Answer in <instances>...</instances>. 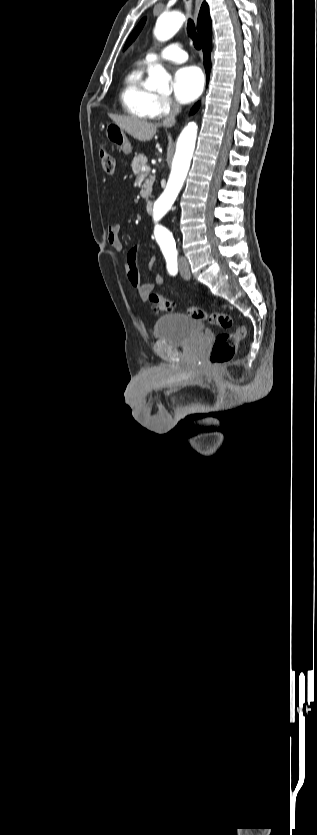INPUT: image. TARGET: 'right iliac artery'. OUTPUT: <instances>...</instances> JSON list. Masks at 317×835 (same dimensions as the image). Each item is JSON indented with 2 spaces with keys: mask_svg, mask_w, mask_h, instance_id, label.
Masks as SVG:
<instances>
[{
  "mask_svg": "<svg viewBox=\"0 0 317 835\" xmlns=\"http://www.w3.org/2000/svg\"><path fill=\"white\" fill-rule=\"evenodd\" d=\"M166 262L168 273L175 276L178 272L177 257L166 258Z\"/></svg>",
  "mask_w": 317,
  "mask_h": 835,
  "instance_id": "82829eb1",
  "label": "right iliac artery"
}]
</instances>
